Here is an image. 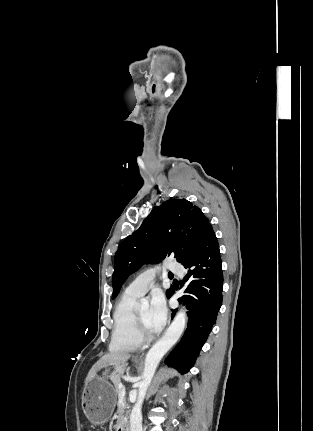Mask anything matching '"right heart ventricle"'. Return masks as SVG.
Segmentation results:
<instances>
[{"label":"right heart ventricle","instance_id":"right-heart-ventricle-1","mask_svg":"<svg viewBox=\"0 0 313 431\" xmlns=\"http://www.w3.org/2000/svg\"><path fill=\"white\" fill-rule=\"evenodd\" d=\"M137 296L124 292L117 301L113 313V330L110 348L113 351L129 352L140 346L135 335V303Z\"/></svg>","mask_w":313,"mask_h":431}]
</instances>
